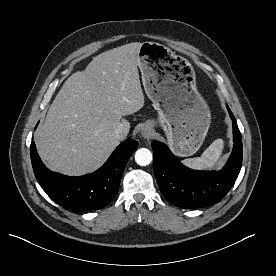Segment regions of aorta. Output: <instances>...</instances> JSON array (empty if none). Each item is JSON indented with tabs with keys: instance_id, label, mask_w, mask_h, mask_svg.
<instances>
[{
	"instance_id": "obj_1",
	"label": "aorta",
	"mask_w": 276,
	"mask_h": 276,
	"mask_svg": "<svg viewBox=\"0 0 276 276\" xmlns=\"http://www.w3.org/2000/svg\"><path fill=\"white\" fill-rule=\"evenodd\" d=\"M153 155L147 148H140L135 152V162L140 166H147L151 163Z\"/></svg>"
}]
</instances>
